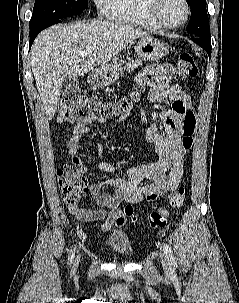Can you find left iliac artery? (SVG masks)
Instances as JSON below:
<instances>
[{
  "mask_svg": "<svg viewBox=\"0 0 239 303\" xmlns=\"http://www.w3.org/2000/svg\"><path fill=\"white\" fill-rule=\"evenodd\" d=\"M163 249H164V253L168 259V263H169L170 267L175 268V266H176L175 257L173 255V252H172L170 246L167 243H164Z\"/></svg>",
  "mask_w": 239,
  "mask_h": 303,
  "instance_id": "obj_1",
  "label": "left iliac artery"
}]
</instances>
